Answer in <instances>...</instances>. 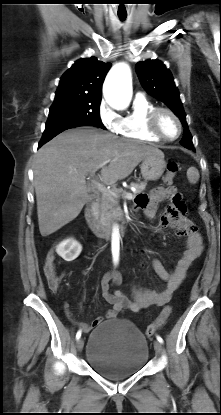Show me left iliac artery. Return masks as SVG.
I'll use <instances>...</instances> for the list:
<instances>
[{
	"mask_svg": "<svg viewBox=\"0 0 221 415\" xmlns=\"http://www.w3.org/2000/svg\"><path fill=\"white\" fill-rule=\"evenodd\" d=\"M156 338H157V340H158L160 343H163V339H162V337H160L159 335H157V336H156Z\"/></svg>",
	"mask_w": 221,
	"mask_h": 415,
	"instance_id": "44dca946",
	"label": "left iliac artery"
}]
</instances>
